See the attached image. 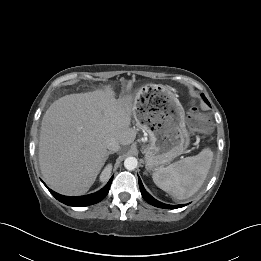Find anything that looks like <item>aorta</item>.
<instances>
[{
	"label": "aorta",
	"mask_w": 261,
	"mask_h": 261,
	"mask_svg": "<svg viewBox=\"0 0 261 261\" xmlns=\"http://www.w3.org/2000/svg\"><path fill=\"white\" fill-rule=\"evenodd\" d=\"M138 165V161L135 157H127L124 161V167L127 170H134Z\"/></svg>",
	"instance_id": "aorta-1"
}]
</instances>
